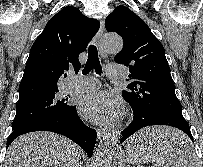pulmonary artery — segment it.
Here are the masks:
<instances>
[{
  "mask_svg": "<svg viewBox=\"0 0 203 167\" xmlns=\"http://www.w3.org/2000/svg\"><path fill=\"white\" fill-rule=\"evenodd\" d=\"M106 73L109 78H119L123 74V67L117 64H109L106 66ZM98 86L99 82L93 77L72 75L66 88L68 91L73 92L93 90Z\"/></svg>",
  "mask_w": 203,
  "mask_h": 167,
  "instance_id": "obj_1",
  "label": "pulmonary artery"
}]
</instances>
